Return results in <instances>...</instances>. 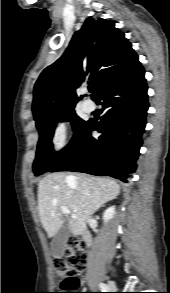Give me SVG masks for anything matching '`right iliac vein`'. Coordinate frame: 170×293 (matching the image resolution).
I'll return each instance as SVG.
<instances>
[{"mask_svg": "<svg viewBox=\"0 0 170 293\" xmlns=\"http://www.w3.org/2000/svg\"><path fill=\"white\" fill-rule=\"evenodd\" d=\"M108 288H109V290L113 291V290L116 289V286H115V284L113 282H109L108 283Z\"/></svg>", "mask_w": 170, "mask_h": 293, "instance_id": "obj_1", "label": "right iliac vein"}]
</instances>
